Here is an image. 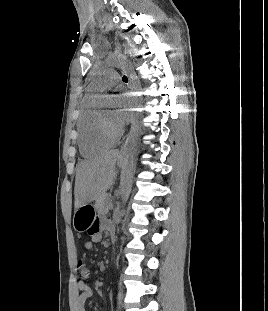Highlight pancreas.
Here are the masks:
<instances>
[{"label":"pancreas","instance_id":"obj_1","mask_svg":"<svg viewBox=\"0 0 268 311\" xmlns=\"http://www.w3.org/2000/svg\"><path fill=\"white\" fill-rule=\"evenodd\" d=\"M112 208V200L108 194H103L98 197L95 202V209L98 213H106L108 210Z\"/></svg>","mask_w":268,"mask_h":311}]
</instances>
